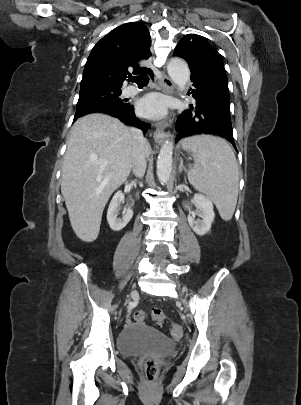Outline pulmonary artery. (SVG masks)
Listing matches in <instances>:
<instances>
[{"instance_id":"e3ab8cb5","label":"pulmonary artery","mask_w":301,"mask_h":405,"mask_svg":"<svg viewBox=\"0 0 301 405\" xmlns=\"http://www.w3.org/2000/svg\"><path fill=\"white\" fill-rule=\"evenodd\" d=\"M138 92H139V89L135 86H129L123 90V94L125 96H132V95L137 94Z\"/></svg>"}]
</instances>
